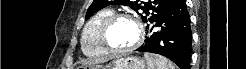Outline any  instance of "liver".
<instances>
[{"instance_id":"liver-1","label":"liver","mask_w":246,"mask_h":69,"mask_svg":"<svg viewBox=\"0 0 246 69\" xmlns=\"http://www.w3.org/2000/svg\"><path fill=\"white\" fill-rule=\"evenodd\" d=\"M102 61H103V59H96V60H93V61L88 62V64L100 63Z\"/></svg>"}]
</instances>
